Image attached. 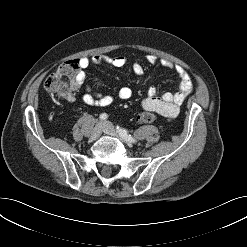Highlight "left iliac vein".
Instances as JSON below:
<instances>
[{"mask_svg":"<svg viewBox=\"0 0 247 247\" xmlns=\"http://www.w3.org/2000/svg\"><path fill=\"white\" fill-rule=\"evenodd\" d=\"M103 132L108 134V135H111V136H114V137H117V138H120L121 140L123 141H126L124 138H122L119 133L115 130V128L113 127L112 123L109 122V121H105L103 123ZM131 143V142H130Z\"/></svg>","mask_w":247,"mask_h":247,"instance_id":"left-iliac-vein-1","label":"left iliac vein"}]
</instances>
